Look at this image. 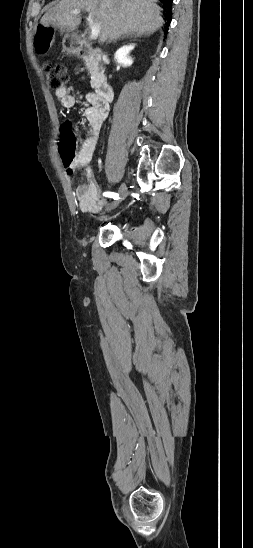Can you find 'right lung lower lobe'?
Instances as JSON below:
<instances>
[{
    "mask_svg": "<svg viewBox=\"0 0 253 548\" xmlns=\"http://www.w3.org/2000/svg\"><path fill=\"white\" fill-rule=\"evenodd\" d=\"M164 5L165 7L169 10V15H168V18H167V22L168 24H170V21H171V4H172V1L173 0H160Z\"/></svg>",
    "mask_w": 253,
    "mask_h": 548,
    "instance_id": "right-lung-lower-lobe-1",
    "label": "right lung lower lobe"
}]
</instances>
